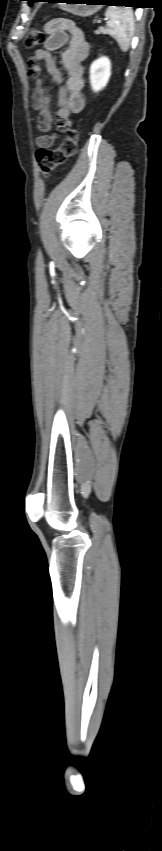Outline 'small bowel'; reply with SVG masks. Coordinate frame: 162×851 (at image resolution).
I'll use <instances>...</instances> for the list:
<instances>
[{
    "mask_svg": "<svg viewBox=\"0 0 162 851\" xmlns=\"http://www.w3.org/2000/svg\"><path fill=\"white\" fill-rule=\"evenodd\" d=\"M45 31L48 37L43 47L37 49L34 56L28 61V74L36 80V87L32 94V107L38 111L37 127L42 132L50 131L53 122L61 129L68 126L71 114H77L83 110L85 106L82 93L84 88L83 62L90 52L83 31L70 19H53L45 24ZM64 46L66 48L62 52L60 60L68 78L65 85L61 86L58 91L57 109L52 112L49 88L44 84L37 62H43L51 78L58 84H62L63 76L57 67L52 52ZM59 137L60 134L38 136L36 145L38 147H50Z\"/></svg>",
    "mask_w": 162,
    "mask_h": 851,
    "instance_id": "obj_1",
    "label": "small bowel"
}]
</instances>
